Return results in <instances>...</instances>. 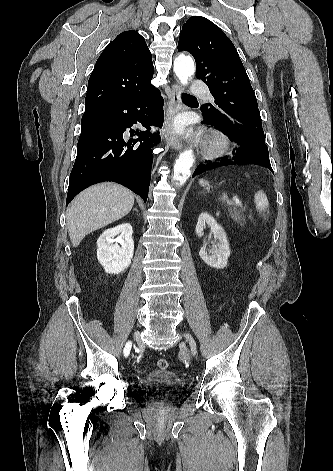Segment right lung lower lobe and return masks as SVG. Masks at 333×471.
Returning <instances> with one entry per match:
<instances>
[{
    "instance_id": "1",
    "label": "right lung lower lobe",
    "mask_w": 333,
    "mask_h": 471,
    "mask_svg": "<svg viewBox=\"0 0 333 471\" xmlns=\"http://www.w3.org/2000/svg\"><path fill=\"white\" fill-rule=\"evenodd\" d=\"M163 99L152 85L82 117L77 157L70 174L67 204L90 185L113 181L140 195L146 202L156 136L150 126L163 123ZM141 124L146 131L130 130L137 139H123L126 128Z\"/></svg>"
}]
</instances>
